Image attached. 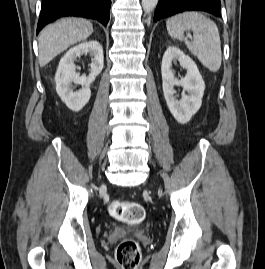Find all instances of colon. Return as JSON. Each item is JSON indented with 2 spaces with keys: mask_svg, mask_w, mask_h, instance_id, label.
<instances>
[{
  "mask_svg": "<svg viewBox=\"0 0 265 269\" xmlns=\"http://www.w3.org/2000/svg\"><path fill=\"white\" fill-rule=\"evenodd\" d=\"M113 218L129 224H136L144 218V208L140 203L114 200L109 205ZM140 259V249L136 241L124 239L117 247V260L121 269H136Z\"/></svg>",
  "mask_w": 265,
  "mask_h": 269,
  "instance_id": "5ec220e1",
  "label": "colon"
}]
</instances>
